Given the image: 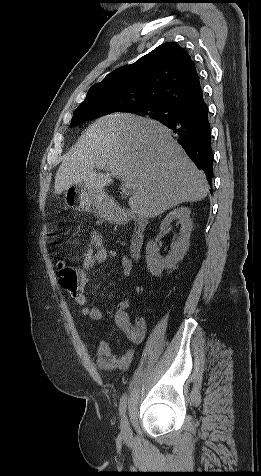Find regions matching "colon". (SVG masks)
I'll list each match as a JSON object with an SVG mask.
<instances>
[{"label":"colon","instance_id":"obj_1","mask_svg":"<svg viewBox=\"0 0 261 476\" xmlns=\"http://www.w3.org/2000/svg\"><path fill=\"white\" fill-rule=\"evenodd\" d=\"M58 280L60 285L69 293L76 292L82 282V278L79 271L73 266L64 263L59 264Z\"/></svg>","mask_w":261,"mask_h":476}]
</instances>
